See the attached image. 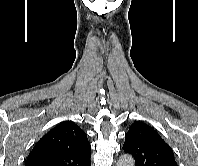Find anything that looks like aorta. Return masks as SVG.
I'll use <instances>...</instances> for the list:
<instances>
[{
    "label": "aorta",
    "mask_w": 198,
    "mask_h": 166,
    "mask_svg": "<svg viewBox=\"0 0 198 166\" xmlns=\"http://www.w3.org/2000/svg\"><path fill=\"white\" fill-rule=\"evenodd\" d=\"M116 166H135L134 159L131 155L124 154L119 158Z\"/></svg>",
    "instance_id": "1"
}]
</instances>
